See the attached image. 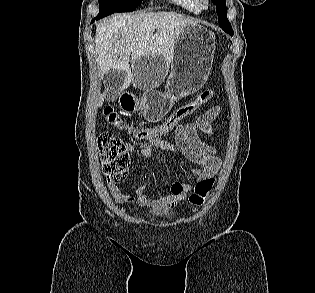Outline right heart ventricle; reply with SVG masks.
Listing matches in <instances>:
<instances>
[{
    "label": "right heart ventricle",
    "instance_id": "e07e8e85",
    "mask_svg": "<svg viewBox=\"0 0 315 293\" xmlns=\"http://www.w3.org/2000/svg\"><path fill=\"white\" fill-rule=\"evenodd\" d=\"M171 3L176 5L178 8L183 10L184 12L198 15L200 13V9L198 6L197 0H170Z\"/></svg>",
    "mask_w": 315,
    "mask_h": 293
}]
</instances>
